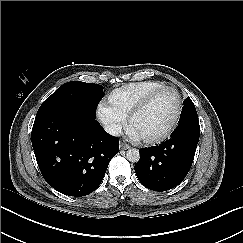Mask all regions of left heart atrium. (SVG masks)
Listing matches in <instances>:
<instances>
[{
    "label": "left heart atrium",
    "instance_id": "left-heart-atrium-1",
    "mask_svg": "<svg viewBox=\"0 0 243 243\" xmlns=\"http://www.w3.org/2000/svg\"><path fill=\"white\" fill-rule=\"evenodd\" d=\"M128 134L134 140H137V139L140 138V134L135 129H133V128H130L128 130Z\"/></svg>",
    "mask_w": 243,
    "mask_h": 243
}]
</instances>
